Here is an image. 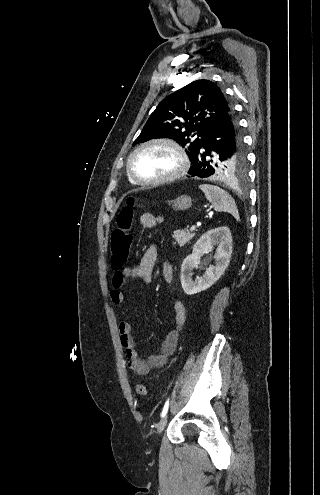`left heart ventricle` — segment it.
I'll return each mask as SVG.
<instances>
[{"instance_id": "obj_1", "label": "left heart ventricle", "mask_w": 320, "mask_h": 495, "mask_svg": "<svg viewBox=\"0 0 320 495\" xmlns=\"http://www.w3.org/2000/svg\"><path fill=\"white\" fill-rule=\"evenodd\" d=\"M177 167L176 153L165 145H153L139 151L132 162L136 176L147 180L167 176Z\"/></svg>"}]
</instances>
